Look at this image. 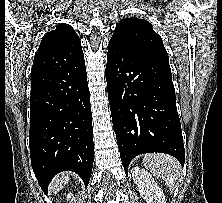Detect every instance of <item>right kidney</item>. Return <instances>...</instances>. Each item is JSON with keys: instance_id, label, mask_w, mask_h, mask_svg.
<instances>
[{"instance_id": "1", "label": "right kidney", "mask_w": 222, "mask_h": 203, "mask_svg": "<svg viewBox=\"0 0 222 203\" xmlns=\"http://www.w3.org/2000/svg\"><path fill=\"white\" fill-rule=\"evenodd\" d=\"M71 195H72V194H68V198H69V199L71 198Z\"/></svg>"}]
</instances>
